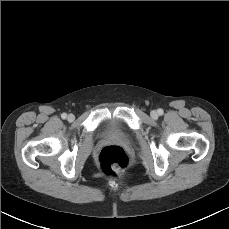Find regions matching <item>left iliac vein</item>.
Returning <instances> with one entry per match:
<instances>
[{"label":"left iliac vein","instance_id":"1","mask_svg":"<svg viewBox=\"0 0 229 229\" xmlns=\"http://www.w3.org/2000/svg\"><path fill=\"white\" fill-rule=\"evenodd\" d=\"M151 117L153 119H156L158 117V114H157V112L155 110L151 111Z\"/></svg>","mask_w":229,"mask_h":229}]
</instances>
